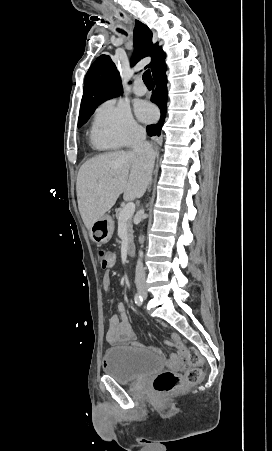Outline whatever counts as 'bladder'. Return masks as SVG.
I'll return each mask as SVG.
<instances>
[{"mask_svg":"<svg viewBox=\"0 0 272 451\" xmlns=\"http://www.w3.org/2000/svg\"><path fill=\"white\" fill-rule=\"evenodd\" d=\"M105 374L120 384H131L160 371L163 361L158 354H148L132 347L113 346L104 355Z\"/></svg>","mask_w":272,"mask_h":451,"instance_id":"obj_1","label":"bladder"}]
</instances>
